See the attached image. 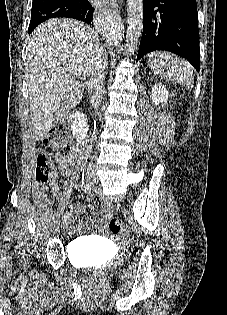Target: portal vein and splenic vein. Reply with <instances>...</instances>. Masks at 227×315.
<instances>
[{"mask_svg":"<svg viewBox=\"0 0 227 315\" xmlns=\"http://www.w3.org/2000/svg\"><path fill=\"white\" fill-rule=\"evenodd\" d=\"M70 71L71 72H79V73H81L83 71V69L79 68V67H72Z\"/></svg>","mask_w":227,"mask_h":315,"instance_id":"18ae733b","label":"portal vein and splenic vein"}]
</instances>
